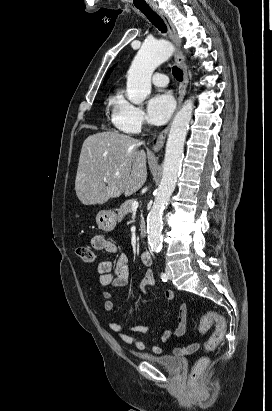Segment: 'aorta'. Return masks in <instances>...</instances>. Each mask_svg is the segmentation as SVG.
Here are the masks:
<instances>
[{"label":"aorta","mask_w":272,"mask_h":411,"mask_svg":"<svg viewBox=\"0 0 272 411\" xmlns=\"http://www.w3.org/2000/svg\"><path fill=\"white\" fill-rule=\"evenodd\" d=\"M174 47L167 40L147 41L136 54L127 73V96L141 104L151 92V76L154 70L173 53ZM193 101L187 100L175 115L166 143L162 179L156 190L153 206L147 217L148 242L153 252L162 249L163 211L175 189L180 174L184 142L192 118Z\"/></svg>","instance_id":"aorta-1"}]
</instances>
